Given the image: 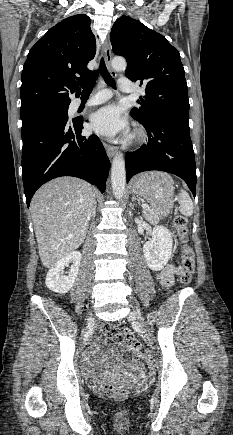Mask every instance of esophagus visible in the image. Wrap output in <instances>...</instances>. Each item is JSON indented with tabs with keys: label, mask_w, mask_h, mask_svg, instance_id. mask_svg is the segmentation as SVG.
<instances>
[{
	"label": "esophagus",
	"mask_w": 233,
	"mask_h": 435,
	"mask_svg": "<svg viewBox=\"0 0 233 435\" xmlns=\"http://www.w3.org/2000/svg\"><path fill=\"white\" fill-rule=\"evenodd\" d=\"M102 52H103V55H104V58H105V62H106V65H107L109 71L111 72V74L113 76H116L115 71L111 67L112 52H111V46H110V42H109V37H107V39H106V42H105V44H104V46L102 48ZM105 149H106L108 157L111 159L113 157V155H114L115 148L113 146H111V145L105 144Z\"/></svg>",
	"instance_id": "obj_1"
}]
</instances>
